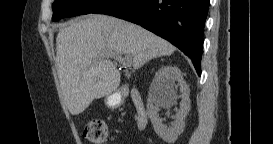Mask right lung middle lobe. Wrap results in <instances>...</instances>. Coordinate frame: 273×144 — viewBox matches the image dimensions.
<instances>
[{
  "label": "right lung middle lobe",
  "instance_id": "right-lung-middle-lobe-1",
  "mask_svg": "<svg viewBox=\"0 0 273 144\" xmlns=\"http://www.w3.org/2000/svg\"><path fill=\"white\" fill-rule=\"evenodd\" d=\"M109 0H55L52 5L53 21L65 17L92 13L96 8L102 6Z\"/></svg>",
  "mask_w": 273,
  "mask_h": 144
}]
</instances>
